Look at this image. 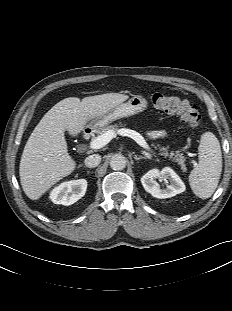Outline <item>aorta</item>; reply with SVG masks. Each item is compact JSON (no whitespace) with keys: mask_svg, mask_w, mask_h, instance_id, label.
<instances>
[{"mask_svg":"<svg viewBox=\"0 0 232 311\" xmlns=\"http://www.w3.org/2000/svg\"><path fill=\"white\" fill-rule=\"evenodd\" d=\"M110 167L113 170H122L126 167V158L123 155L115 154L110 160Z\"/></svg>","mask_w":232,"mask_h":311,"instance_id":"obj_1","label":"aorta"}]
</instances>
